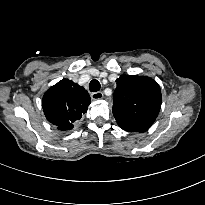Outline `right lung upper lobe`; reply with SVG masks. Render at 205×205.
<instances>
[{
	"label": "right lung upper lobe",
	"mask_w": 205,
	"mask_h": 205,
	"mask_svg": "<svg viewBox=\"0 0 205 205\" xmlns=\"http://www.w3.org/2000/svg\"><path fill=\"white\" fill-rule=\"evenodd\" d=\"M90 103V96L82 86L62 79L46 91L42 107L49 122L59 130H69L87 112Z\"/></svg>",
	"instance_id": "obj_1"
}]
</instances>
